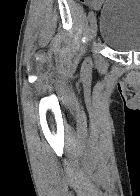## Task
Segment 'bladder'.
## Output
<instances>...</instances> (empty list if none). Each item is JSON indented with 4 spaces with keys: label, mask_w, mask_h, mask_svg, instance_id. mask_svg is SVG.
Returning <instances> with one entry per match:
<instances>
[{
    "label": "bladder",
    "mask_w": 140,
    "mask_h": 196,
    "mask_svg": "<svg viewBox=\"0 0 140 196\" xmlns=\"http://www.w3.org/2000/svg\"><path fill=\"white\" fill-rule=\"evenodd\" d=\"M102 41L118 52H140V0H106L101 10Z\"/></svg>",
    "instance_id": "bladder-1"
}]
</instances>
